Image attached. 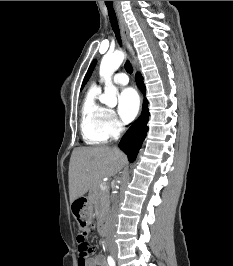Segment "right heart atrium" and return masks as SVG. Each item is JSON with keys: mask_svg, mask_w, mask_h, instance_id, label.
Segmentation results:
<instances>
[{"mask_svg": "<svg viewBox=\"0 0 233 266\" xmlns=\"http://www.w3.org/2000/svg\"><path fill=\"white\" fill-rule=\"evenodd\" d=\"M124 127L112 109H107L103 121V130L108 138H116Z\"/></svg>", "mask_w": 233, "mask_h": 266, "instance_id": "d8ad5b80", "label": "right heart atrium"}]
</instances>
